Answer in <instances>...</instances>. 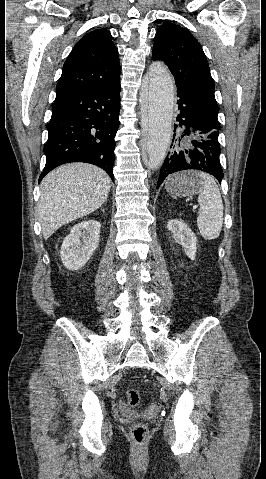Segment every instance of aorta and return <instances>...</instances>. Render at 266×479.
I'll return each mask as SVG.
<instances>
[{"label": "aorta", "instance_id": "762f6f07", "mask_svg": "<svg viewBox=\"0 0 266 479\" xmlns=\"http://www.w3.org/2000/svg\"><path fill=\"white\" fill-rule=\"evenodd\" d=\"M174 81L161 63L149 68L141 90L142 122L147 129L148 166L158 169L166 157L173 117Z\"/></svg>", "mask_w": 266, "mask_h": 479}]
</instances>
